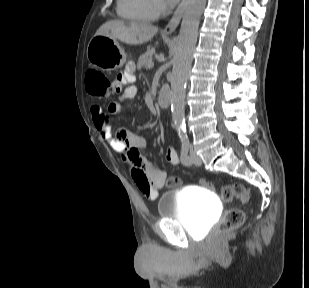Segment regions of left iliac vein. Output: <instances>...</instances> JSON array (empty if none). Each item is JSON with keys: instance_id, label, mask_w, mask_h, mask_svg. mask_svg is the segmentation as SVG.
Wrapping results in <instances>:
<instances>
[{"instance_id": "left-iliac-vein-1", "label": "left iliac vein", "mask_w": 309, "mask_h": 288, "mask_svg": "<svg viewBox=\"0 0 309 288\" xmlns=\"http://www.w3.org/2000/svg\"><path fill=\"white\" fill-rule=\"evenodd\" d=\"M190 158H191V163L195 165H201L202 160L201 158L196 154V151L194 149L190 150Z\"/></svg>"}]
</instances>
